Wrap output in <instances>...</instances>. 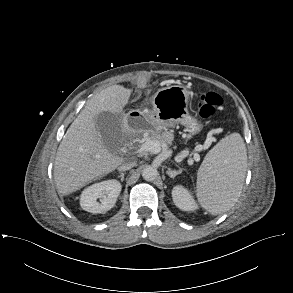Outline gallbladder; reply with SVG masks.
Returning <instances> with one entry per match:
<instances>
[{"instance_id":"1","label":"gallbladder","mask_w":293,"mask_h":293,"mask_svg":"<svg viewBox=\"0 0 293 293\" xmlns=\"http://www.w3.org/2000/svg\"><path fill=\"white\" fill-rule=\"evenodd\" d=\"M96 127L107 147L120 140L121 124L116 114L108 111L99 113L96 117Z\"/></svg>"}]
</instances>
